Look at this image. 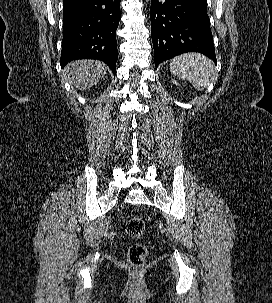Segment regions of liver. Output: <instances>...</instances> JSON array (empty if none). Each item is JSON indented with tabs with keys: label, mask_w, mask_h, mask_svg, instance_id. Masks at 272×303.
Returning <instances> with one entry per match:
<instances>
[{
	"label": "liver",
	"mask_w": 272,
	"mask_h": 303,
	"mask_svg": "<svg viewBox=\"0 0 272 303\" xmlns=\"http://www.w3.org/2000/svg\"><path fill=\"white\" fill-rule=\"evenodd\" d=\"M107 66L97 60H77L70 62L64 69L68 81L80 91L97 84L106 74Z\"/></svg>",
	"instance_id": "obj_1"
}]
</instances>
